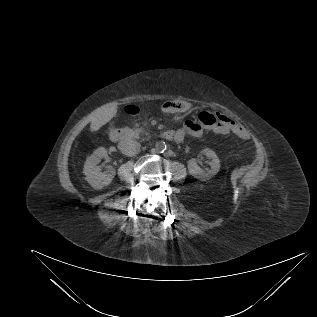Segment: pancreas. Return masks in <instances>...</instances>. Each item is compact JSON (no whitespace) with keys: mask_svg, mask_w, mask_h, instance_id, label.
<instances>
[{"mask_svg":"<svg viewBox=\"0 0 317 317\" xmlns=\"http://www.w3.org/2000/svg\"><path fill=\"white\" fill-rule=\"evenodd\" d=\"M135 134L139 135L141 133H144V129L141 127V128H136L133 130Z\"/></svg>","mask_w":317,"mask_h":317,"instance_id":"1","label":"pancreas"}]
</instances>
